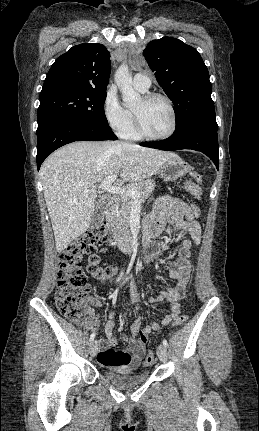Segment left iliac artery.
<instances>
[{"instance_id":"1","label":"left iliac artery","mask_w":259,"mask_h":431,"mask_svg":"<svg viewBox=\"0 0 259 431\" xmlns=\"http://www.w3.org/2000/svg\"><path fill=\"white\" fill-rule=\"evenodd\" d=\"M163 345H164L165 347H168V342H167V340H166V339H163Z\"/></svg>"}]
</instances>
